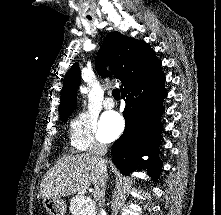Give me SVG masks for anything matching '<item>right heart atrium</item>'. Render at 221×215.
Wrapping results in <instances>:
<instances>
[{
    "label": "right heart atrium",
    "instance_id": "1",
    "mask_svg": "<svg viewBox=\"0 0 221 215\" xmlns=\"http://www.w3.org/2000/svg\"><path fill=\"white\" fill-rule=\"evenodd\" d=\"M70 142L76 151H86L103 144L105 139L98 130L96 116L86 111L77 113L70 124Z\"/></svg>",
    "mask_w": 221,
    "mask_h": 215
}]
</instances>
